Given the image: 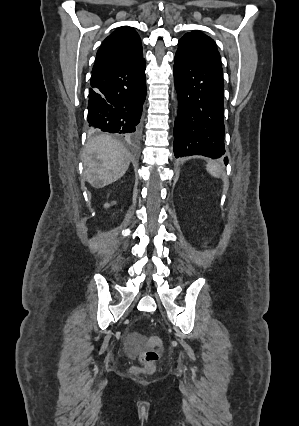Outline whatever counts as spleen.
Wrapping results in <instances>:
<instances>
[{
    "mask_svg": "<svg viewBox=\"0 0 299 426\" xmlns=\"http://www.w3.org/2000/svg\"><path fill=\"white\" fill-rule=\"evenodd\" d=\"M207 171L214 177H220V169L216 163L209 162L206 166Z\"/></svg>",
    "mask_w": 299,
    "mask_h": 426,
    "instance_id": "1",
    "label": "spleen"
}]
</instances>
